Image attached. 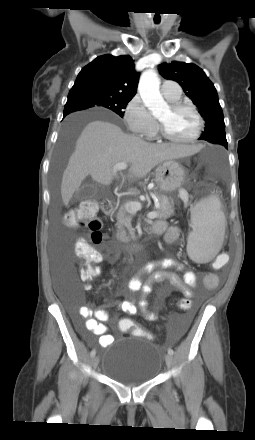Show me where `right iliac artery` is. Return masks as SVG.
Segmentation results:
<instances>
[{
	"label": "right iliac artery",
	"instance_id": "1",
	"mask_svg": "<svg viewBox=\"0 0 255 440\" xmlns=\"http://www.w3.org/2000/svg\"><path fill=\"white\" fill-rule=\"evenodd\" d=\"M95 354H96V351H95V349H93V350L91 351L90 355H91V357H94Z\"/></svg>",
	"mask_w": 255,
	"mask_h": 440
}]
</instances>
